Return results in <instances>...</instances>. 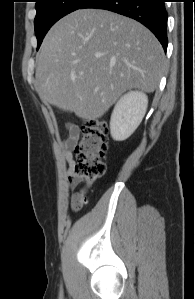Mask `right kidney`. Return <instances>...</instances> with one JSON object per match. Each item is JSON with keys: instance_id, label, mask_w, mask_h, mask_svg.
<instances>
[{"instance_id": "right-kidney-1", "label": "right kidney", "mask_w": 195, "mask_h": 299, "mask_svg": "<svg viewBox=\"0 0 195 299\" xmlns=\"http://www.w3.org/2000/svg\"><path fill=\"white\" fill-rule=\"evenodd\" d=\"M148 97L139 91H130L116 103L110 120L111 136L116 141L127 139L145 116Z\"/></svg>"}]
</instances>
